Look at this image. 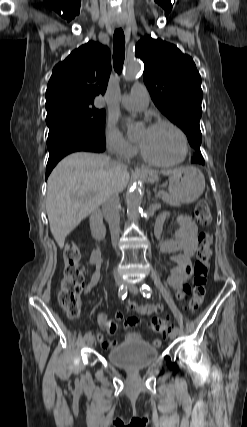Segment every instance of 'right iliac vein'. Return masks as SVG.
<instances>
[{
  "label": "right iliac vein",
  "mask_w": 247,
  "mask_h": 427,
  "mask_svg": "<svg viewBox=\"0 0 247 427\" xmlns=\"http://www.w3.org/2000/svg\"><path fill=\"white\" fill-rule=\"evenodd\" d=\"M116 284L117 286H122L123 285V280L120 277H116L115 278ZM95 341V337L93 335H91L88 339H87V345L89 347H92Z\"/></svg>",
  "instance_id": "63e3f726"
}]
</instances>
